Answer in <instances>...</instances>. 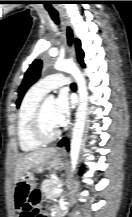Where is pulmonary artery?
<instances>
[{"label": "pulmonary artery", "mask_w": 132, "mask_h": 217, "mask_svg": "<svg viewBox=\"0 0 132 217\" xmlns=\"http://www.w3.org/2000/svg\"><path fill=\"white\" fill-rule=\"evenodd\" d=\"M68 83V78L62 74H52L38 81L36 83V86L43 92L48 93L49 91L59 88Z\"/></svg>", "instance_id": "obj_1"}]
</instances>
